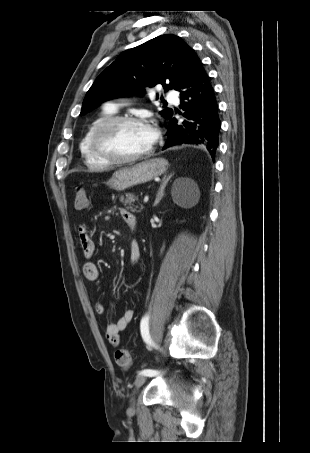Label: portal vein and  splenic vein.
<instances>
[{
	"instance_id": "obj_1",
	"label": "portal vein and splenic vein",
	"mask_w": 310,
	"mask_h": 453,
	"mask_svg": "<svg viewBox=\"0 0 310 453\" xmlns=\"http://www.w3.org/2000/svg\"><path fill=\"white\" fill-rule=\"evenodd\" d=\"M148 200H149V197H148V196H145L143 201H144V203H147Z\"/></svg>"
}]
</instances>
